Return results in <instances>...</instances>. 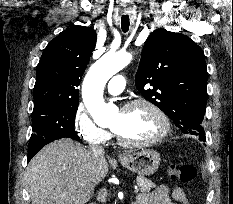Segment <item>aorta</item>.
<instances>
[{
    "label": "aorta",
    "instance_id": "aorta-1",
    "mask_svg": "<svg viewBox=\"0 0 233 204\" xmlns=\"http://www.w3.org/2000/svg\"><path fill=\"white\" fill-rule=\"evenodd\" d=\"M132 55L126 52L103 55L87 72L82 85V98L94 122L100 126L107 125L117 112L112 103H105L103 90L107 81L126 67Z\"/></svg>",
    "mask_w": 233,
    "mask_h": 204
}]
</instances>
